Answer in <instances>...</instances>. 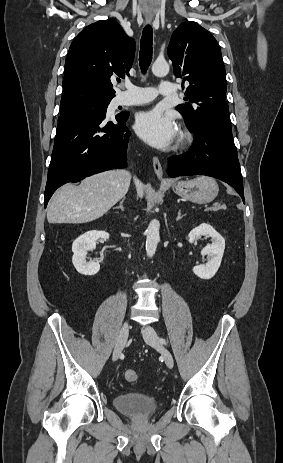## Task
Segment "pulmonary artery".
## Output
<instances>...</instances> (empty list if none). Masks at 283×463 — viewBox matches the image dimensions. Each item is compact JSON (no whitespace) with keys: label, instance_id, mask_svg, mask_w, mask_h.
I'll return each mask as SVG.
<instances>
[{"label":"pulmonary artery","instance_id":"obj_1","mask_svg":"<svg viewBox=\"0 0 283 463\" xmlns=\"http://www.w3.org/2000/svg\"><path fill=\"white\" fill-rule=\"evenodd\" d=\"M123 87L126 91L116 96V106L139 105L155 99L158 95L173 96L176 92V86L170 81H162L158 87H139L132 83H125Z\"/></svg>","mask_w":283,"mask_h":463}]
</instances>
